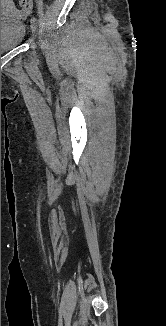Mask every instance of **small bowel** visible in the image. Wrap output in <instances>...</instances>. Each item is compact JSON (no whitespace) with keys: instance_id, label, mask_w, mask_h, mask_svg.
I'll return each instance as SVG.
<instances>
[{"instance_id":"1","label":"small bowel","mask_w":166,"mask_h":326,"mask_svg":"<svg viewBox=\"0 0 166 326\" xmlns=\"http://www.w3.org/2000/svg\"><path fill=\"white\" fill-rule=\"evenodd\" d=\"M1 4H6L11 6L12 5V1L11 0H1Z\"/></svg>"}]
</instances>
